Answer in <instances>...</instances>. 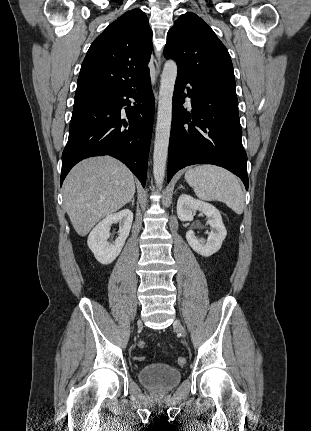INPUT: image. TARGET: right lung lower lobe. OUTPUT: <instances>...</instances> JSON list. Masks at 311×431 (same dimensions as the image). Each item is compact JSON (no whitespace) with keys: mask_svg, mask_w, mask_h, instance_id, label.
Segmentation results:
<instances>
[{"mask_svg":"<svg viewBox=\"0 0 311 431\" xmlns=\"http://www.w3.org/2000/svg\"><path fill=\"white\" fill-rule=\"evenodd\" d=\"M128 98L135 100L133 106ZM126 105L123 119L121 109ZM153 116L149 72L138 82L115 91L75 98L60 184L82 159L111 155L126 164L145 187Z\"/></svg>","mask_w":311,"mask_h":431,"instance_id":"98d812e1","label":"right lung lower lobe"}]
</instances>
